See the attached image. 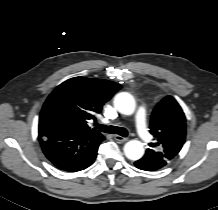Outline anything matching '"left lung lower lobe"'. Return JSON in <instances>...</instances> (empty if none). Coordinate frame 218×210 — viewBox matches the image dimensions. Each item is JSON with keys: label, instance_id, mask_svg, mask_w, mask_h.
Here are the masks:
<instances>
[{"label": "left lung lower lobe", "instance_id": "obj_1", "mask_svg": "<svg viewBox=\"0 0 218 210\" xmlns=\"http://www.w3.org/2000/svg\"><path fill=\"white\" fill-rule=\"evenodd\" d=\"M135 166L146 171H155L163 167L160 162H154V160L147 154H145L140 160L136 161Z\"/></svg>", "mask_w": 218, "mask_h": 210}]
</instances>
